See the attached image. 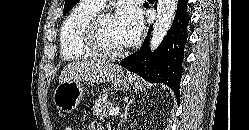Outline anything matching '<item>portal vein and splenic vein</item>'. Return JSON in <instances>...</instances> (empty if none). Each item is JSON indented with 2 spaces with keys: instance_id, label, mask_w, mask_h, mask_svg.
<instances>
[{
  "instance_id": "18ae733b",
  "label": "portal vein and splenic vein",
  "mask_w": 249,
  "mask_h": 130,
  "mask_svg": "<svg viewBox=\"0 0 249 130\" xmlns=\"http://www.w3.org/2000/svg\"><path fill=\"white\" fill-rule=\"evenodd\" d=\"M118 113H119V108H118V107L112 108V109L109 111V115H110V116L117 115Z\"/></svg>"
}]
</instances>
